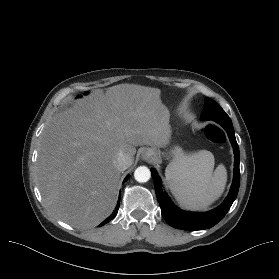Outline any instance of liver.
I'll return each instance as SVG.
<instances>
[{
    "label": "liver",
    "instance_id": "6515ba94",
    "mask_svg": "<svg viewBox=\"0 0 279 279\" xmlns=\"http://www.w3.org/2000/svg\"><path fill=\"white\" fill-rule=\"evenodd\" d=\"M158 88L120 84L96 91L46 124L36 179L47 210L78 229L98 225L114 209L122 152L133 162L136 146L169 143L170 113Z\"/></svg>",
    "mask_w": 279,
    "mask_h": 279
}]
</instances>
